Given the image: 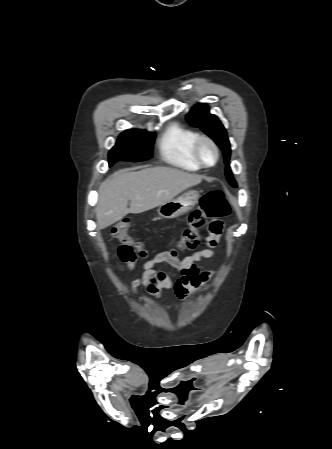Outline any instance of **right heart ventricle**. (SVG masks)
<instances>
[{"label": "right heart ventricle", "mask_w": 332, "mask_h": 449, "mask_svg": "<svg viewBox=\"0 0 332 449\" xmlns=\"http://www.w3.org/2000/svg\"><path fill=\"white\" fill-rule=\"evenodd\" d=\"M198 133L177 122L169 124L161 135L159 153L167 163L190 171L201 168L193 156L192 145Z\"/></svg>", "instance_id": "1"}]
</instances>
